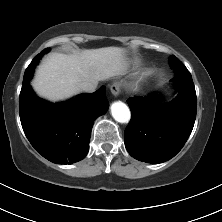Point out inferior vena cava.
Returning a JSON list of instances; mask_svg holds the SVG:
<instances>
[{"label":"inferior vena cava","instance_id":"inferior-vena-cava-1","mask_svg":"<svg viewBox=\"0 0 222 222\" xmlns=\"http://www.w3.org/2000/svg\"><path fill=\"white\" fill-rule=\"evenodd\" d=\"M97 85H98L97 81H86V82L80 83L79 87L82 91L91 93L96 90Z\"/></svg>","mask_w":222,"mask_h":222}]
</instances>
